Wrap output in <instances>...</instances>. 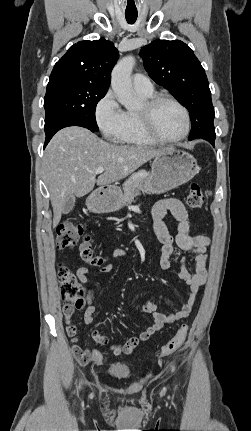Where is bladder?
<instances>
[{
    "label": "bladder",
    "mask_w": 251,
    "mask_h": 431,
    "mask_svg": "<svg viewBox=\"0 0 251 431\" xmlns=\"http://www.w3.org/2000/svg\"><path fill=\"white\" fill-rule=\"evenodd\" d=\"M108 374L112 378L123 379L130 376L131 369L128 364L118 362L110 365V367L108 368Z\"/></svg>",
    "instance_id": "bladder-1"
}]
</instances>
